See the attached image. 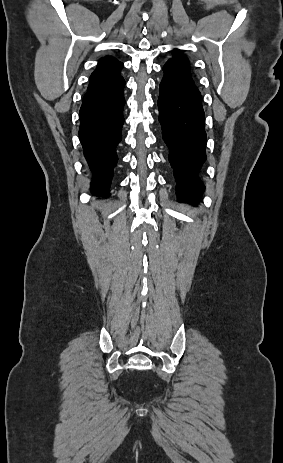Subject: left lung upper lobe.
Instances as JSON below:
<instances>
[{
  "label": "left lung upper lobe",
  "instance_id": "left-lung-upper-lobe-1",
  "mask_svg": "<svg viewBox=\"0 0 283 463\" xmlns=\"http://www.w3.org/2000/svg\"><path fill=\"white\" fill-rule=\"evenodd\" d=\"M173 54L174 56L170 60L189 71V62L187 57L184 54L180 53L178 49H174Z\"/></svg>",
  "mask_w": 283,
  "mask_h": 463
}]
</instances>
